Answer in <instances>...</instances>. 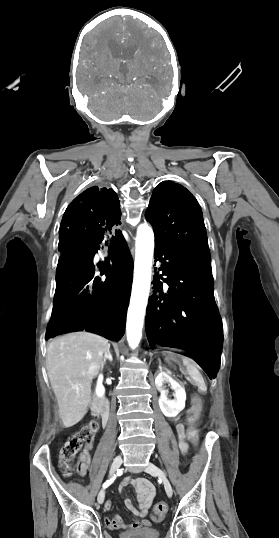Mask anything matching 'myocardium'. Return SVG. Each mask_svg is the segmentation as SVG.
<instances>
[{"instance_id": "1", "label": "myocardium", "mask_w": 279, "mask_h": 538, "mask_svg": "<svg viewBox=\"0 0 279 538\" xmlns=\"http://www.w3.org/2000/svg\"><path fill=\"white\" fill-rule=\"evenodd\" d=\"M104 237H106V236H105L103 233H101V234L99 235V237H98V240H102V239H104Z\"/></svg>"}]
</instances>
